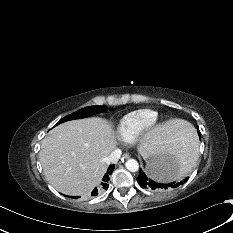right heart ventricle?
I'll list each match as a JSON object with an SVG mask.
<instances>
[{"label":"right heart ventricle","mask_w":233,"mask_h":233,"mask_svg":"<svg viewBox=\"0 0 233 233\" xmlns=\"http://www.w3.org/2000/svg\"><path fill=\"white\" fill-rule=\"evenodd\" d=\"M157 118V112L151 109H139L125 115L117 127V137L125 143H132L151 128Z\"/></svg>","instance_id":"right-heart-ventricle-1"}]
</instances>
